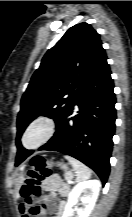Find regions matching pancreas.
Wrapping results in <instances>:
<instances>
[{"instance_id":"pancreas-1","label":"pancreas","mask_w":132,"mask_h":217,"mask_svg":"<svg viewBox=\"0 0 132 217\" xmlns=\"http://www.w3.org/2000/svg\"><path fill=\"white\" fill-rule=\"evenodd\" d=\"M73 178V175L70 174V173H66L65 174V179L68 181L69 179H72Z\"/></svg>"}]
</instances>
